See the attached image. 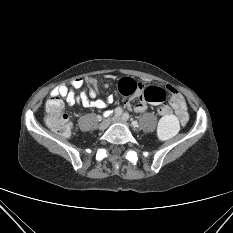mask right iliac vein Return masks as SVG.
<instances>
[{"label":"right iliac vein","instance_id":"right-iliac-vein-1","mask_svg":"<svg viewBox=\"0 0 233 233\" xmlns=\"http://www.w3.org/2000/svg\"><path fill=\"white\" fill-rule=\"evenodd\" d=\"M110 124V119H104L100 124H99V129L100 130H105Z\"/></svg>","mask_w":233,"mask_h":233}]
</instances>
